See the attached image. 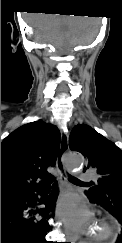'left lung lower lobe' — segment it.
I'll return each instance as SVG.
<instances>
[{
	"label": "left lung lower lobe",
	"mask_w": 122,
	"mask_h": 243,
	"mask_svg": "<svg viewBox=\"0 0 122 243\" xmlns=\"http://www.w3.org/2000/svg\"><path fill=\"white\" fill-rule=\"evenodd\" d=\"M111 191L113 193V199L114 200H122V184H117V185L113 186ZM90 201L92 203H97L100 206L104 207L101 203H98V202L93 201V200H90ZM116 243H122V233L118 236Z\"/></svg>",
	"instance_id": "obj_1"
}]
</instances>
